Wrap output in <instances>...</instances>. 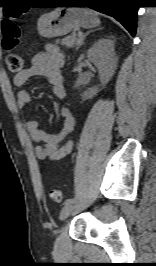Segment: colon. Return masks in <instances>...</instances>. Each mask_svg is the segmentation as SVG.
I'll list each match as a JSON object with an SVG mask.
<instances>
[{
	"mask_svg": "<svg viewBox=\"0 0 156 266\" xmlns=\"http://www.w3.org/2000/svg\"><path fill=\"white\" fill-rule=\"evenodd\" d=\"M16 17L18 16H12V18L4 20L2 23V45L5 49H13L20 43L21 32L17 24L13 21V18ZM6 62L8 69L13 73H20L24 66L23 57L15 53L9 54ZM49 194L55 202L60 203L63 201V194L59 190L51 189Z\"/></svg>",
	"mask_w": 156,
	"mask_h": 266,
	"instance_id": "colon-1",
	"label": "colon"
}]
</instances>
